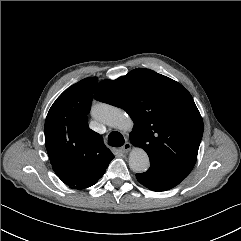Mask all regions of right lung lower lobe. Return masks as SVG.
<instances>
[{
	"instance_id": "1",
	"label": "right lung lower lobe",
	"mask_w": 241,
	"mask_h": 241,
	"mask_svg": "<svg viewBox=\"0 0 241 241\" xmlns=\"http://www.w3.org/2000/svg\"><path fill=\"white\" fill-rule=\"evenodd\" d=\"M56 175L70 188L84 189L94 185L105 173L80 170L66 166H53Z\"/></svg>"
}]
</instances>
